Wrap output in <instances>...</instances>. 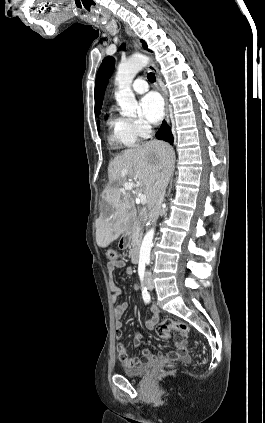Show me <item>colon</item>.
I'll list each match as a JSON object with an SVG mask.
<instances>
[{"label": "colon", "mask_w": 265, "mask_h": 423, "mask_svg": "<svg viewBox=\"0 0 265 423\" xmlns=\"http://www.w3.org/2000/svg\"><path fill=\"white\" fill-rule=\"evenodd\" d=\"M106 257L109 262H114L118 259L116 250L110 248L106 251ZM172 331H176L181 335H186L189 332V327L186 323L177 322L171 319H165L156 325V332L161 338H169ZM185 352L182 353L184 355Z\"/></svg>", "instance_id": "1"}]
</instances>
